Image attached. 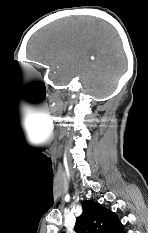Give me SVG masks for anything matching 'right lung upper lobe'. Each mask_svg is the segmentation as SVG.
<instances>
[{
  "label": "right lung upper lobe",
  "mask_w": 148,
  "mask_h": 233,
  "mask_svg": "<svg viewBox=\"0 0 148 233\" xmlns=\"http://www.w3.org/2000/svg\"><path fill=\"white\" fill-rule=\"evenodd\" d=\"M83 213L76 218L77 233H124L116 214L94 201L82 203Z\"/></svg>",
  "instance_id": "obj_1"
}]
</instances>
